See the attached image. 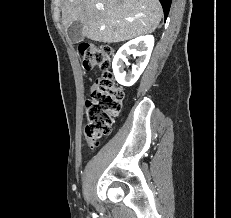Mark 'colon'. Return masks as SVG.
I'll return each mask as SVG.
<instances>
[{
    "label": "colon",
    "mask_w": 231,
    "mask_h": 218,
    "mask_svg": "<svg viewBox=\"0 0 231 218\" xmlns=\"http://www.w3.org/2000/svg\"><path fill=\"white\" fill-rule=\"evenodd\" d=\"M83 69L90 71L101 68L103 74L93 86L90 98L85 104V134L87 139L97 144L111 131L114 118L121 110L123 89L118 86L110 71L112 48L82 43L77 48Z\"/></svg>",
    "instance_id": "obj_1"
}]
</instances>
